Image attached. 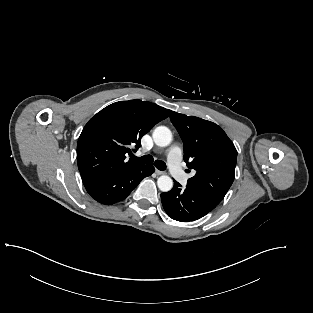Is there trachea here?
I'll list each match as a JSON object with an SVG mask.
<instances>
[{"label": "trachea", "mask_w": 313, "mask_h": 313, "mask_svg": "<svg viewBox=\"0 0 313 313\" xmlns=\"http://www.w3.org/2000/svg\"><path fill=\"white\" fill-rule=\"evenodd\" d=\"M132 159L139 162V163H142V164H152L153 163V157L151 155H144L142 157L132 156ZM154 166L161 171L166 169L165 162L160 161V160H156L154 162Z\"/></svg>", "instance_id": "trachea-1"}]
</instances>
